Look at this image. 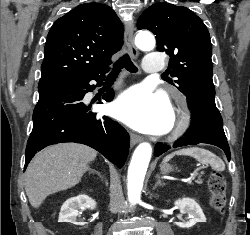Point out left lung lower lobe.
<instances>
[{"mask_svg": "<svg viewBox=\"0 0 250 235\" xmlns=\"http://www.w3.org/2000/svg\"><path fill=\"white\" fill-rule=\"evenodd\" d=\"M189 107L192 111V127L187 131L189 136L177 141L173 147L194 145L198 143L213 144L224 150L230 160V148L223 130V121L215 104V89L206 88L196 90L187 95ZM169 147L162 143L155 146V155L166 152Z\"/></svg>", "mask_w": 250, "mask_h": 235, "instance_id": "left-lung-lower-lobe-1", "label": "left lung lower lobe"}]
</instances>
